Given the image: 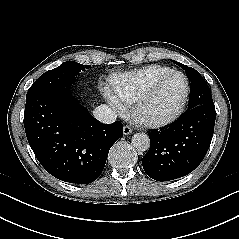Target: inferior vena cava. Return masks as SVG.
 <instances>
[{"label":"inferior vena cava","instance_id":"602c4592","mask_svg":"<svg viewBox=\"0 0 239 239\" xmlns=\"http://www.w3.org/2000/svg\"><path fill=\"white\" fill-rule=\"evenodd\" d=\"M94 117L104 124H110L116 121V112L105 104H101L93 111Z\"/></svg>","mask_w":239,"mask_h":239}]
</instances>
